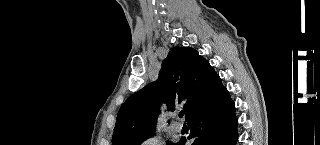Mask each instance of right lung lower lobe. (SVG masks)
Segmentation results:
<instances>
[{
  "label": "right lung lower lobe",
  "instance_id": "obj_1",
  "mask_svg": "<svg viewBox=\"0 0 320 145\" xmlns=\"http://www.w3.org/2000/svg\"><path fill=\"white\" fill-rule=\"evenodd\" d=\"M192 145H235L237 141V119L234 102L229 92L223 87L218 76L210 89V96L205 106L188 119ZM182 138L176 145H185Z\"/></svg>",
  "mask_w": 320,
  "mask_h": 145
}]
</instances>
